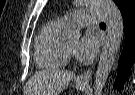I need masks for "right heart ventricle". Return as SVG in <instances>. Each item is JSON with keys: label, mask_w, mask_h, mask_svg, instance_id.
<instances>
[{"label": "right heart ventricle", "mask_w": 135, "mask_h": 95, "mask_svg": "<svg viewBox=\"0 0 135 95\" xmlns=\"http://www.w3.org/2000/svg\"><path fill=\"white\" fill-rule=\"evenodd\" d=\"M67 25L62 19L43 25L34 44V57L40 68H60L67 61L62 33Z\"/></svg>", "instance_id": "right-heart-ventricle-1"}]
</instances>
